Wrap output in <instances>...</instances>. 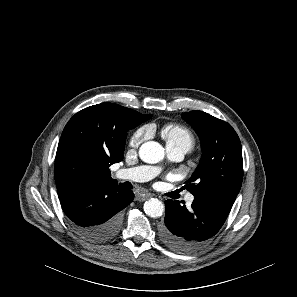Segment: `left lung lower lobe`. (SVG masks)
Listing matches in <instances>:
<instances>
[{"label":"left lung lower lobe","mask_w":297,"mask_h":297,"mask_svg":"<svg viewBox=\"0 0 297 297\" xmlns=\"http://www.w3.org/2000/svg\"><path fill=\"white\" fill-rule=\"evenodd\" d=\"M235 199L225 195L195 197L191 208L178 200H166L164 224L160 227L162 242L178 252L200 248L222 227Z\"/></svg>","instance_id":"left-lung-lower-lobe-1"}]
</instances>
